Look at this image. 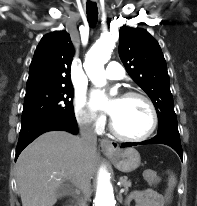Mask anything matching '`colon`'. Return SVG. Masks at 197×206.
Here are the masks:
<instances>
[{
	"instance_id": "colon-1",
	"label": "colon",
	"mask_w": 197,
	"mask_h": 206,
	"mask_svg": "<svg viewBox=\"0 0 197 206\" xmlns=\"http://www.w3.org/2000/svg\"><path fill=\"white\" fill-rule=\"evenodd\" d=\"M156 179V178H155ZM172 186L168 188V191H167V196H166V200L167 202H169L170 198H171V194H172Z\"/></svg>"
}]
</instances>
